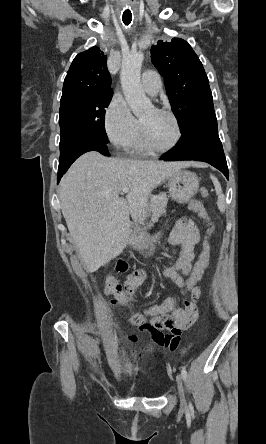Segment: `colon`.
<instances>
[{
	"label": "colon",
	"instance_id": "1",
	"mask_svg": "<svg viewBox=\"0 0 266 444\" xmlns=\"http://www.w3.org/2000/svg\"><path fill=\"white\" fill-rule=\"evenodd\" d=\"M201 193L203 196L207 195L205 189H201ZM189 208L196 212L200 218L209 222L208 214L200 202L195 200L191 201L189 203ZM212 233L213 227L209 224L208 235L204 241L203 249L190 273L183 278V283L179 287L180 290L177 294L170 296L161 302L149 306H142L135 301V289L133 283L129 279H126L114 286L111 304L113 306H122L126 308L128 313L136 318L163 317L170 314L176 308H179V304L185 302L188 295L197 287L198 282L202 279L210 263L211 252L209 239ZM192 345V342L184 344L181 348V352L184 353L188 351Z\"/></svg>",
	"mask_w": 266,
	"mask_h": 444
}]
</instances>
